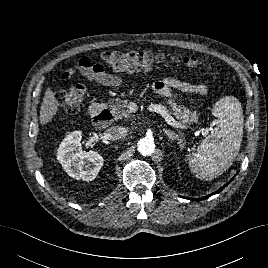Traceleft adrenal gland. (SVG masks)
Here are the masks:
<instances>
[{
    "mask_svg": "<svg viewBox=\"0 0 268 268\" xmlns=\"http://www.w3.org/2000/svg\"><path fill=\"white\" fill-rule=\"evenodd\" d=\"M164 133L168 136L169 139L171 140H180L178 134L175 132L168 130V129H163Z\"/></svg>",
    "mask_w": 268,
    "mask_h": 268,
    "instance_id": "1",
    "label": "left adrenal gland"
}]
</instances>
